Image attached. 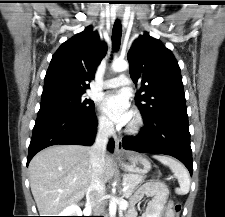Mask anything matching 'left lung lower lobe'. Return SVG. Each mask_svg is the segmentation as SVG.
<instances>
[{"label": "left lung lower lobe", "mask_w": 225, "mask_h": 217, "mask_svg": "<svg viewBox=\"0 0 225 217\" xmlns=\"http://www.w3.org/2000/svg\"><path fill=\"white\" fill-rule=\"evenodd\" d=\"M145 126L136 137L122 140L124 149L171 155L179 159L192 175L193 160L186 111L165 112L143 117Z\"/></svg>", "instance_id": "left-lung-lower-lobe-1"}]
</instances>
